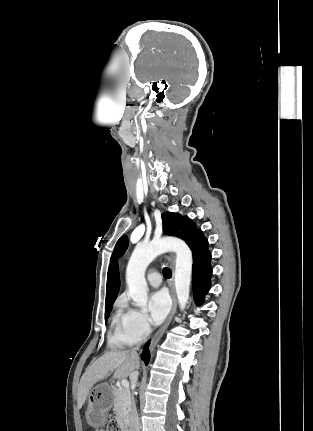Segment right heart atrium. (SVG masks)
Instances as JSON below:
<instances>
[{"instance_id":"d8ad5b80","label":"right heart atrium","mask_w":313,"mask_h":431,"mask_svg":"<svg viewBox=\"0 0 313 431\" xmlns=\"http://www.w3.org/2000/svg\"><path fill=\"white\" fill-rule=\"evenodd\" d=\"M127 325L131 333L138 339L148 336L151 326L147 316L141 311L130 309L127 315Z\"/></svg>"}]
</instances>
